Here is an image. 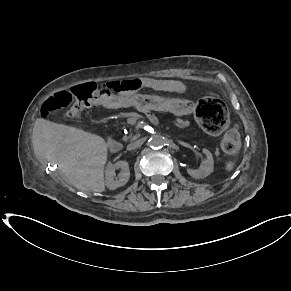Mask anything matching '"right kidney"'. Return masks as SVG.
Returning a JSON list of instances; mask_svg holds the SVG:
<instances>
[{
  "instance_id": "obj_1",
  "label": "right kidney",
  "mask_w": 291,
  "mask_h": 291,
  "mask_svg": "<svg viewBox=\"0 0 291 291\" xmlns=\"http://www.w3.org/2000/svg\"><path fill=\"white\" fill-rule=\"evenodd\" d=\"M120 169L121 172L116 178L115 171ZM130 177L129 165L126 161H119L114 165L109 163L105 170V184L108 189L115 190L118 187L124 186Z\"/></svg>"
}]
</instances>
